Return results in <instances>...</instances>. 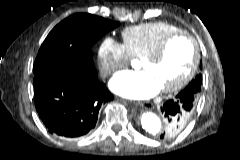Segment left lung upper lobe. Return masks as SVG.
<instances>
[{
	"label": "left lung upper lobe",
	"instance_id": "obj_1",
	"mask_svg": "<svg viewBox=\"0 0 240 160\" xmlns=\"http://www.w3.org/2000/svg\"><path fill=\"white\" fill-rule=\"evenodd\" d=\"M201 83H202V76H201V74H199L195 77L194 80H192L190 82V84L187 87L193 86L195 88V93L198 94L201 91ZM192 114H193V111L182 115L180 122L187 124V122L191 118ZM184 127L181 126L180 128H176V130H174V131L173 130L170 131V126L168 125V121L166 120V128H165L164 132L160 135V139L172 137V136L176 135L177 133H179Z\"/></svg>",
	"mask_w": 240,
	"mask_h": 160
}]
</instances>
